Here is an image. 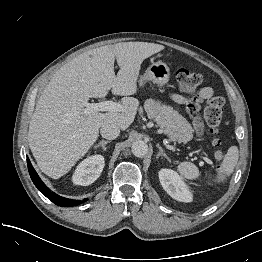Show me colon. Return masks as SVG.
<instances>
[{
  "instance_id": "1",
  "label": "colon",
  "mask_w": 262,
  "mask_h": 262,
  "mask_svg": "<svg viewBox=\"0 0 262 262\" xmlns=\"http://www.w3.org/2000/svg\"><path fill=\"white\" fill-rule=\"evenodd\" d=\"M176 78L180 89L183 92H191L196 90L202 83V77L198 72L191 71L188 69H179L176 72ZM225 100L221 95H215L211 97L203 111V117L208 125L211 133L215 134L218 132V127L222 121L223 109ZM190 114L196 116L198 109L194 104L189 105ZM215 143H219L215 140ZM218 159H222V153H217Z\"/></svg>"
}]
</instances>
